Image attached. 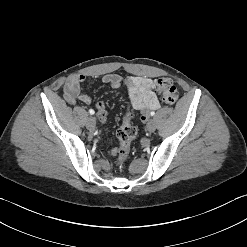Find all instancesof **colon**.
I'll use <instances>...</instances> for the list:
<instances>
[{
    "label": "colon",
    "instance_id": "obj_1",
    "mask_svg": "<svg viewBox=\"0 0 247 247\" xmlns=\"http://www.w3.org/2000/svg\"><path fill=\"white\" fill-rule=\"evenodd\" d=\"M110 81L114 87H120L121 81L118 80L116 74L110 75ZM157 89L161 94L162 100L169 105H173L178 100V92L173 82L168 78H160L157 80ZM121 93L127 92L126 86L120 87ZM131 112L128 110L124 117L122 126L117 131V138L119 140V146L114 149V155L116 156L117 165L122 166L128 158L130 153L131 142L137 135V129L131 122Z\"/></svg>",
    "mask_w": 247,
    "mask_h": 247
}]
</instances>
